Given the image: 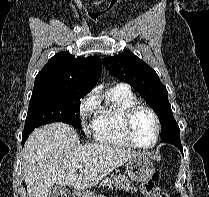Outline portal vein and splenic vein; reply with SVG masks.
<instances>
[{"label": "portal vein and splenic vein", "mask_w": 209, "mask_h": 197, "mask_svg": "<svg viewBox=\"0 0 209 197\" xmlns=\"http://www.w3.org/2000/svg\"><path fill=\"white\" fill-rule=\"evenodd\" d=\"M77 168L82 169V168H83V165H82V164H79V165L77 166Z\"/></svg>", "instance_id": "portal-vein-and-splenic-vein-1"}]
</instances>
